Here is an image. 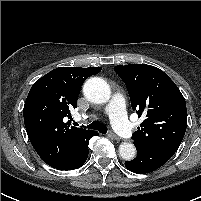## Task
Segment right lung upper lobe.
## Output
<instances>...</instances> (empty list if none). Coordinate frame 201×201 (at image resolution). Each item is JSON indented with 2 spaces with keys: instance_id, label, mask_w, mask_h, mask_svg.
Segmentation results:
<instances>
[{
  "instance_id": "cb5924a9",
  "label": "right lung upper lobe",
  "mask_w": 201,
  "mask_h": 201,
  "mask_svg": "<svg viewBox=\"0 0 201 201\" xmlns=\"http://www.w3.org/2000/svg\"><path fill=\"white\" fill-rule=\"evenodd\" d=\"M101 67H59L31 87L24 104V123L30 142L40 158L57 168L69 164L80 153L86 139L97 133L71 126L70 110L85 79Z\"/></svg>"
}]
</instances>
